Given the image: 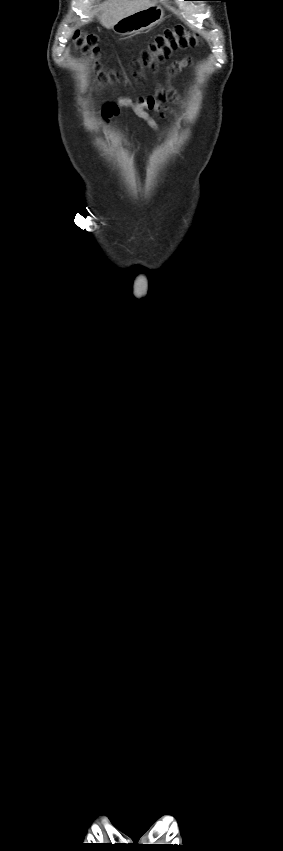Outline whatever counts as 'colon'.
Instances as JSON below:
<instances>
[{
    "instance_id": "colon-1",
    "label": "colon",
    "mask_w": 283,
    "mask_h": 851,
    "mask_svg": "<svg viewBox=\"0 0 283 851\" xmlns=\"http://www.w3.org/2000/svg\"><path fill=\"white\" fill-rule=\"evenodd\" d=\"M74 46L79 49L92 63L94 71L101 81L107 79V75L101 71L99 64L100 49L98 39L95 35L86 32H77L73 38ZM200 44L198 37L183 26L166 29L156 35L140 57L134 61L135 75L139 76L141 67L155 69L159 62L166 60L171 53L179 48L195 47Z\"/></svg>"
}]
</instances>
